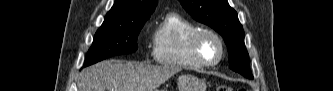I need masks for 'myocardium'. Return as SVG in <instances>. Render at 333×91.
<instances>
[{
	"instance_id": "obj_1",
	"label": "myocardium",
	"mask_w": 333,
	"mask_h": 91,
	"mask_svg": "<svg viewBox=\"0 0 333 91\" xmlns=\"http://www.w3.org/2000/svg\"><path fill=\"white\" fill-rule=\"evenodd\" d=\"M206 35L214 37L219 44L220 48L219 55L217 59L213 62L206 61L201 54V49H200L201 40ZM191 50L193 57L195 58L197 63L200 64L202 67H215L222 61L225 55V44L222 36L217 31L211 28H199V30H197L192 36Z\"/></svg>"
}]
</instances>
